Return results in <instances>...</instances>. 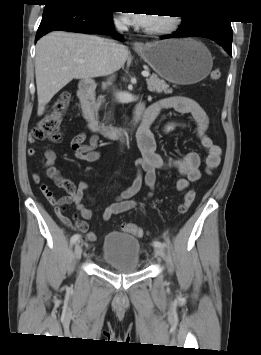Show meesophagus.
<instances>
[{"instance_id":"esophagus-1","label":"esophagus","mask_w":261,"mask_h":355,"mask_svg":"<svg viewBox=\"0 0 261 355\" xmlns=\"http://www.w3.org/2000/svg\"><path fill=\"white\" fill-rule=\"evenodd\" d=\"M132 47H133V49H135V50H141V49L144 48V44L141 43V42H133V43H132Z\"/></svg>"}]
</instances>
